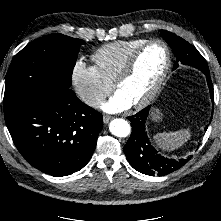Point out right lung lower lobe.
Returning <instances> with one entry per match:
<instances>
[{"label":"right lung lower lobe","mask_w":221,"mask_h":221,"mask_svg":"<svg viewBox=\"0 0 221 221\" xmlns=\"http://www.w3.org/2000/svg\"><path fill=\"white\" fill-rule=\"evenodd\" d=\"M4 115L21 155L55 177L70 175L89 162L103 128L101 113L56 84L36 94H5Z\"/></svg>","instance_id":"obj_1"}]
</instances>
